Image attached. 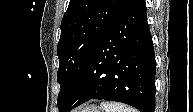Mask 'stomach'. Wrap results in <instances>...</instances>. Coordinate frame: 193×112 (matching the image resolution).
I'll return each mask as SVG.
<instances>
[{
	"mask_svg": "<svg viewBox=\"0 0 193 112\" xmlns=\"http://www.w3.org/2000/svg\"><path fill=\"white\" fill-rule=\"evenodd\" d=\"M81 112H100V109L95 105H90L84 108Z\"/></svg>",
	"mask_w": 193,
	"mask_h": 112,
	"instance_id": "1",
	"label": "stomach"
}]
</instances>
